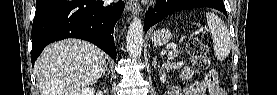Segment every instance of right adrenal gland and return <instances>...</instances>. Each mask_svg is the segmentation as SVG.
I'll return each mask as SVG.
<instances>
[{"label": "right adrenal gland", "mask_w": 277, "mask_h": 95, "mask_svg": "<svg viewBox=\"0 0 277 95\" xmlns=\"http://www.w3.org/2000/svg\"><path fill=\"white\" fill-rule=\"evenodd\" d=\"M108 73V74H110V71H109V69H108V66L106 65V68H105V70H104V72H103V75H105V73Z\"/></svg>", "instance_id": "2a0ac1e0"}]
</instances>
